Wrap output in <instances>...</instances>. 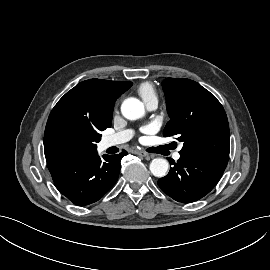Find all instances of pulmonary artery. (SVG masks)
Listing matches in <instances>:
<instances>
[{
    "mask_svg": "<svg viewBox=\"0 0 270 270\" xmlns=\"http://www.w3.org/2000/svg\"><path fill=\"white\" fill-rule=\"evenodd\" d=\"M145 104L149 110H154L156 109L158 105V99L157 98L150 99ZM132 136H133V132L131 130H123V131L107 136L104 139L103 144L105 148L116 146V145L127 142L128 140L132 138ZM179 150L175 152L173 155L175 160H178L180 158Z\"/></svg>",
    "mask_w": 270,
    "mask_h": 270,
    "instance_id": "obj_1",
    "label": "pulmonary artery"
}]
</instances>
